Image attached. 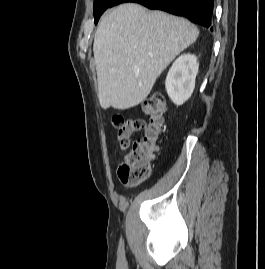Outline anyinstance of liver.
<instances>
[{"mask_svg": "<svg viewBox=\"0 0 265 269\" xmlns=\"http://www.w3.org/2000/svg\"><path fill=\"white\" fill-rule=\"evenodd\" d=\"M188 20L125 3L104 15L93 53L103 109H128L143 102L156 79L198 38Z\"/></svg>", "mask_w": 265, "mask_h": 269, "instance_id": "1", "label": "liver"}]
</instances>
